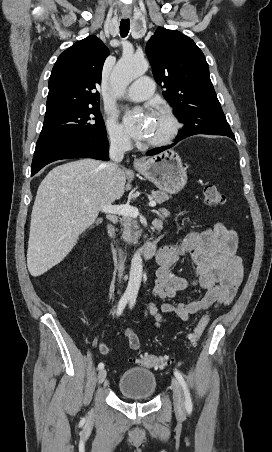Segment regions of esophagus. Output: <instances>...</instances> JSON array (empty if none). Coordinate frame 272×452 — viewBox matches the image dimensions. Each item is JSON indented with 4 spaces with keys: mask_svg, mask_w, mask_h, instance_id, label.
<instances>
[{
    "mask_svg": "<svg viewBox=\"0 0 272 452\" xmlns=\"http://www.w3.org/2000/svg\"><path fill=\"white\" fill-rule=\"evenodd\" d=\"M123 17H124V18H128L129 16H128V15H124ZM141 164H142V162H141L140 160H135V161H134V165H135V166H139V165H141Z\"/></svg>",
    "mask_w": 272,
    "mask_h": 452,
    "instance_id": "esophagus-1",
    "label": "esophagus"
}]
</instances>
